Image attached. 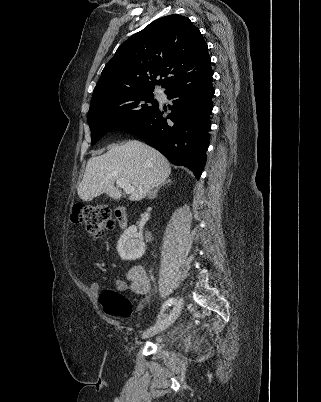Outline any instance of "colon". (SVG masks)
<instances>
[{"label":"colon","mask_w":321,"mask_h":402,"mask_svg":"<svg viewBox=\"0 0 321 402\" xmlns=\"http://www.w3.org/2000/svg\"><path fill=\"white\" fill-rule=\"evenodd\" d=\"M70 219L74 224H83L92 236H100L114 226L110 208L100 205H76L72 208ZM104 312L116 318L126 319L132 313L129 299L115 290H106L100 296Z\"/></svg>","instance_id":"obj_1"}]
</instances>
